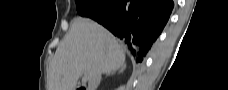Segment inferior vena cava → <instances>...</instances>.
Here are the masks:
<instances>
[{
	"label": "inferior vena cava",
	"mask_w": 228,
	"mask_h": 90,
	"mask_svg": "<svg viewBox=\"0 0 228 90\" xmlns=\"http://www.w3.org/2000/svg\"><path fill=\"white\" fill-rule=\"evenodd\" d=\"M101 75H102V72L98 71L91 76L88 82L89 90L95 89L100 84Z\"/></svg>",
	"instance_id": "1"
}]
</instances>
